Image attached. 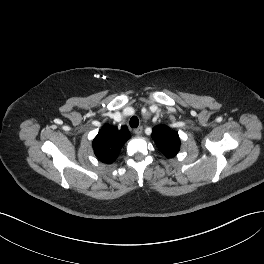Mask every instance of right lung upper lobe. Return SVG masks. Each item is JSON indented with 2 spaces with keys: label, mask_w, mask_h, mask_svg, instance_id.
<instances>
[{
  "label": "right lung upper lobe",
  "mask_w": 264,
  "mask_h": 264,
  "mask_svg": "<svg viewBox=\"0 0 264 264\" xmlns=\"http://www.w3.org/2000/svg\"><path fill=\"white\" fill-rule=\"evenodd\" d=\"M129 138L130 133L126 126L118 129L105 124L93 140L94 153L101 162L111 164Z\"/></svg>",
  "instance_id": "obj_1"
}]
</instances>
